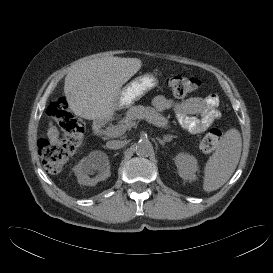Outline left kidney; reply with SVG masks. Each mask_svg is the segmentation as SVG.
I'll use <instances>...</instances> for the list:
<instances>
[{
  "label": "left kidney",
  "instance_id": "5707ae66",
  "mask_svg": "<svg viewBox=\"0 0 273 273\" xmlns=\"http://www.w3.org/2000/svg\"><path fill=\"white\" fill-rule=\"evenodd\" d=\"M175 164L178 169V174L184 180L194 181L196 172L198 171L197 159L187 153H179L175 157Z\"/></svg>",
  "mask_w": 273,
  "mask_h": 273
}]
</instances>
